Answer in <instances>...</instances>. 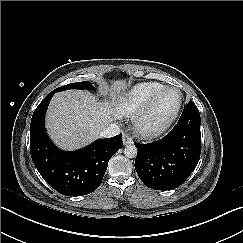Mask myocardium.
I'll return each instance as SVG.
<instances>
[{
    "instance_id": "f54148a6",
    "label": "myocardium",
    "mask_w": 243,
    "mask_h": 243,
    "mask_svg": "<svg viewBox=\"0 0 243 243\" xmlns=\"http://www.w3.org/2000/svg\"><path fill=\"white\" fill-rule=\"evenodd\" d=\"M175 90L179 93V102L174 112L164 120L151 122L149 120L159 98L166 92ZM184 101L183 92L175 86H167L156 92L149 101L132 118L134 130L143 138H154L165 132L178 118Z\"/></svg>"
}]
</instances>
